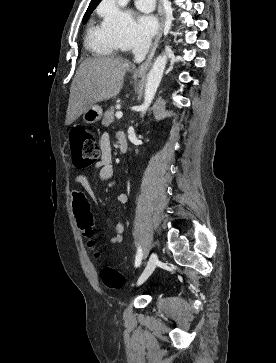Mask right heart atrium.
<instances>
[{
	"label": "right heart atrium",
	"mask_w": 276,
	"mask_h": 363,
	"mask_svg": "<svg viewBox=\"0 0 276 363\" xmlns=\"http://www.w3.org/2000/svg\"><path fill=\"white\" fill-rule=\"evenodd\" d=\"M103 26L122 50L144 46L146 38L138 30L132 16L115 2H106L102 9Z\"/></svg>",
	"instance_id": "obj_1"
}]
</instances>
